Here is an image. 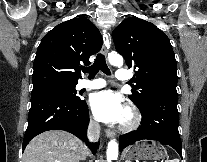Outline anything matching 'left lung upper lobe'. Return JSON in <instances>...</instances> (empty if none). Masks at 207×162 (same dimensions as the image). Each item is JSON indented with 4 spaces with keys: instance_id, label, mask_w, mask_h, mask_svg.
Returning a JSON list of instances; mask_svg holds the SVG:
<instances>
[{
    "instance_id": "left-lung-upper-lobe-1",
    "label": "left lung upper lobe",
    "mask_w": 207,
    "mask_h": 162,
    "mask_svg": "<svg viewBox=\"0 0 207 162\" xmlns=\"http://www.w3.org/2000/svg\"><path fill=\"white\" fill-rule=\"evenodd\" d=\"M115 48L129 68L136 69V87L129 98L139 108L157 96L178 98L177 65L168 37L154 24L134 17L113 31Z\"/></svg>"
}]
</instances>
